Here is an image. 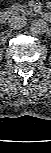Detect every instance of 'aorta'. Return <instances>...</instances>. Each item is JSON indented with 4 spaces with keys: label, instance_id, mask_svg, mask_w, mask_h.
<instances>
[{
    "label": "aorta",
    "instance_id": "aorta-1",
    "mask_svg": "<svg viewBox=\"0 0 51 153\" xmlns=\"http://www.w3.org/2000/svg\"><path fill=\"white\" fill-rule=\"evenodd\" d=\"M47 30H48V24L46 21H44L42 19L34 20L31 23L30 32H31V34H33L35 36L42 35V34L46 33Z\"/></svg>",
    "mask_w": 51,
    "mask_h": 153
}]
</instances>
